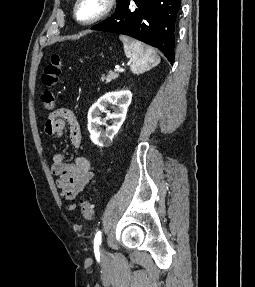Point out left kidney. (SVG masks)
Segmentation results:
<instances>
[{
	"instance_id": "5707ae66",
	"label": "left kidney",
	"mask_w": 255,
	"mask_h": 287,
	"mask_svg": "<svg viewBox=\"0 0 255 287\" xmlns=\"http://www.w3.org/2000/svg\"><path fill=\"white\" fill-rule=\"evenodd\" d=\"M132 94L130 90H120V92H108L98 102L91 106L88 112V130L90 132V140L93 144L100 147H107L112 142L115 134L119 132L127 114V110L131 104ZM113 108V114H110L106 108ZM117 106V108H115ZM102 112H107L106 120H112V126H106V132L102 134L100 126H105L104 120L99 118Z\"/></svg>"
}]
</instances>
